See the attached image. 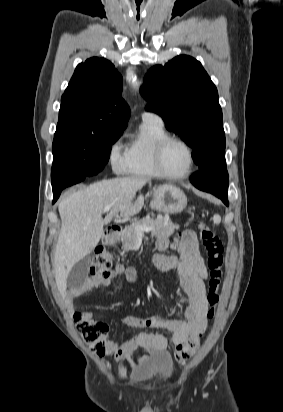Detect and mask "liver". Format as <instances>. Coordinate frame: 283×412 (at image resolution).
Here are the masks:
<instances>
[{
	"label": "liver",
	"instance_id": "liver-1",
	"mask_svg": "<svg viewBox=\"0 0 283 412\" xmlns=\"http://www.w3.org/2000/svg\"><path fill=\"white\" fill-rule=\"evenodd\" d=\"M148 179L125 177L103 180L63 198L58 206L61 230L54 256V274L58 290L64 295L71 268L92 252L103 235V226L115 215L130 217L140 212L143 197L136 193ZM111 206L102 218L103 209Z\"/></svg>",
	"mask_w": 283,
	"mask_h": 412
}]
</instances>
